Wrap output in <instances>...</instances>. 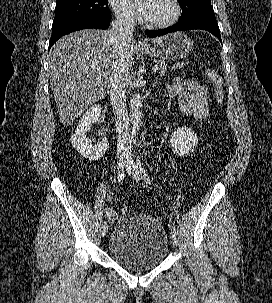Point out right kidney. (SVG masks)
<instances>
[{"mask_svg":"<svg viewBox=\"0 0 272 303\" xmlns=\"http://www.w3.org/2000/svg\"><path fill=\"white\" fill-rule=\"evenodd\" d=\"M102 115V108L98 104L90 107L79 121L75 133L71 137L72 146L85 158L89 160H98L106 152L108 148V139L104 137L98 144H93L87 132L91 126L99 121Z\"/></svg>","mask_w":272,"mask_h":303,"instance_id":"1","label":"right kidney"}]
</instances>
